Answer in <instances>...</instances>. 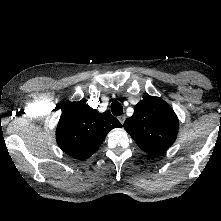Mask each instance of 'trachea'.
<instances>
[{
  "label": "trachea",
  "mask_w": 221,
  "mask_h": 221,
  "mask_svg": "<svg viewBox=\"0 0 221 221\" xmlns=\"http://www.w3.org/2000/svg\"><path fill=\"white\" fill-rule=\"evenodd\" d=\"M111 111L115 116H120L123 113V107L118 101H113L111 104Z\"/></svg>",
  "instance_id": "obj_1"
}]
</instances>
